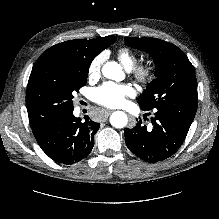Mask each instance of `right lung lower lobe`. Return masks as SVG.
Segmentation results:
<instances>
[{"mask_svg": "<svg viewBox=\"0 0 219 219\" xmlns=\"http://www.w3.org/2000/svg\"><path fill=\"white\" fill-rule=\"evenodd\" d=\"M73 110L62 112L49 121L32 127L42 150L54 161L73 164L85 158L94 146L93 136L100 124L89 117L77 118Z\"/></svg>", "mask_w": 219, "mask_h": 219, "instance_id": "obj_1", "label": "right lung lower lobe"}]
</instances>
